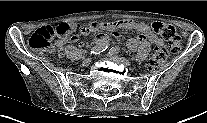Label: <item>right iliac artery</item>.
<instances>
[{
    "label": "right iliac artery",
    "instance_id": "82829eb1",
    "mask_svg": "<svg viewBox=\"0 0 207 123\" xmlns=\"http://www.w3.org/2000/svg\"><path fill=\"white\" fill-rule=\"evenodd\" d=\"M107 48H108V44L107 43L97 44L96 46H94L91 49L90 54H100L103 51H105Z\"/></svg>",
    "mask_w": 207,
    "mask_h": 123
}]
</instances>
